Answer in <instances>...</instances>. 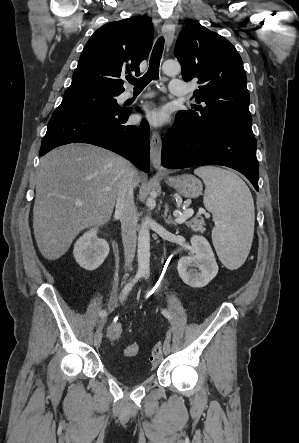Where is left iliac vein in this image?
I'll list each match as a JSON object with an SVG mask.
<instances>
[{
  "label": "left iliac vein",
  "instance_id": "left-iliac-vein-1",
  "mask_svg": "<svg viewBox=\"0 0 299 443\" xmlns=\"http://www.w3.org/2000/svg\"><path fill=\"white\" fill-rule=\"evenodd\" d=\"M170 351H171L170 343H169L168 340H166V341L164 342L163 352H164L165 355H167V354L170 353Z\"/></svg>",
  "mask_w": 299,
  "mask_h": 443
}]
</instances>
